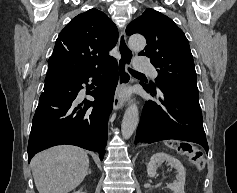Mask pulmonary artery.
<instances>
[{"mask_svg": "<svg viewBox=\"0 0 237 193\" xmlns=\"http://www.w3.org/2000/svg\"><path fill=\"white\" fill-rule=\"evenodd\" d=\"M137 71L149 73L152 77L157 76L156 68L147 60L145 56L137 57L134 61Z\"/></svg>", "mask_w": 237, "mask_h": 193, "instance_id": "1", "label": "pulmonary artery"}]
</instances>
